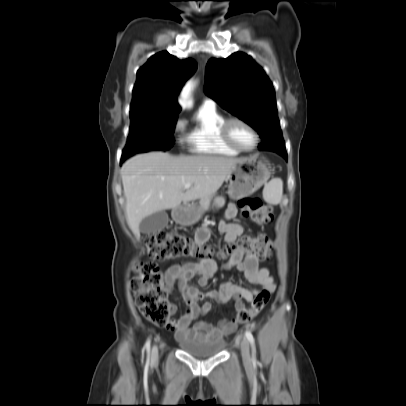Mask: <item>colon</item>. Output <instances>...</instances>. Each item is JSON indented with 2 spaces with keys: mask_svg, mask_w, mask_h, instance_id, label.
I'll list each match as a JSON object with an SVG mask.
<instances>
[{
  "mask_svg": "<svg viewBox=\"0 0 406 406\" xmlns=\"http://www.w3.org/2000/svg\"><path fill=\"white\" fill-rule=\"evenodd\" d=\"M244 218L259 225L269 224L273 220L272 209L264 205L259 198L244 197L239 201ZM145 247L150 261L136 266V274L131 282L138 307L142 315L154 324L167 326L171 323L172 304L168 300V289L164 277L155 261H169L178 258L200 257L210 254V249L189 237L176 233L158 231L145 237ZM272 252L270 239L265 235H244L235 243L228 244L222 251L223 256L254 255L261 260L269 259ZM271 292L260 291L248 307L239 310L236 322L248 323L268 304Z\"/></svg>",
  "mask_w": 406,
  "mask_h": 406,
  "instance_id": "colon-1",
  "label": "colon"
}]
</instances>
